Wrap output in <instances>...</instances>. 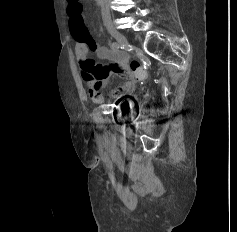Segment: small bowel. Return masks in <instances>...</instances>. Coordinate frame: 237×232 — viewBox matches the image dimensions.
<instances>
[{"instance_id":"c3829d8e","label":"small bowel","mask_w":237,"mask_h":232,"mask_svg":"<svg viewBox=\"0 0 237 232\" xmlns=\"http://www.w3.org/2000/svg\"><path fill=\"white\" fill-rule=\"evenodd\" d=\"M71 30L75 41V54L79 62L80 73L90 98L96 103L103 102L104 97L101 88L114 75L126 78V82L119 89L113 91L112 95L120 98L132 93L135 88V80L127 66L126 58L116 50L98 44L87 28L83 33H77L72 28ZM91 52L96 53L103 60L111 61V63L103 65L95 62L89 57Z\"/></svg>"}]
</instances>
